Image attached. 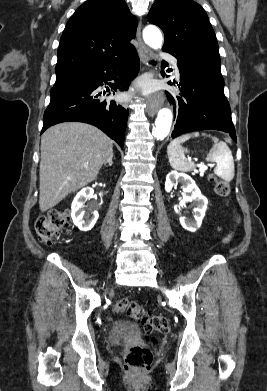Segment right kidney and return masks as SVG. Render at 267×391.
<instances>
[{"label": "right kidney", "instance_id": "obj_1", "mask_svg": "<svg viewBox=\"0 0 267 391\" xmlns=\"http://www.w3.org/2000/svg\"><path fill=\"white\" fill-rule=\"evenodd\" d=\"M93 192V189L90 187L83 188L77 193L71 205V217L73 223L84 232L93 228L99 216L97 211H93L91 216H89L86 220L83 219L85 215V211L82 210L84 202L93 195Z\"/></svg>", "mask_w": 267, "mask_h": 391}]
</instances>
